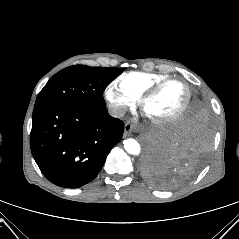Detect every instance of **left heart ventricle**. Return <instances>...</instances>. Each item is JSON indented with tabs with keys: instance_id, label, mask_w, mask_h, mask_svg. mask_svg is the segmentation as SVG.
<instances>
[{
	"instance_id": "b2bd125f",
	"label": "left heart ventricle",
	"mask_w": 239,
	"mask_h": 239,
	"mask_svg": "<svg viewBox=\"0 0 239 239\" xmlns=\"http://www.w3.org/2000/svg\"><path fill=\"white\" fill-rule=\"evenodd\" d=\"M186 95L187 92L183 84L169 83L146 102L144 110L151 116L171 115L183 105Z\"/></svg>"
}]
</instances>
